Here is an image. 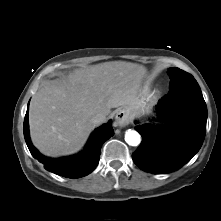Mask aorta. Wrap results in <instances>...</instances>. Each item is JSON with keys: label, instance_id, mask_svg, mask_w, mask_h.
Wrapping results in <instances>:
<instances>
[{"label": "aorta", "instance_id": "aorta-1", "mask_svg": "<svg viewBox=\"0 0 221 221\" xmlns=\"http://www.w3.org/2000/svg\"><path fill=\"white\" fill-rule=\"evenodd\" d=\"M125 141L130 146H138L141 142V136L135 130H127L125 134Z\"/></svg>", "mask_w": 221, "mask_h": 221}]
</instances>
